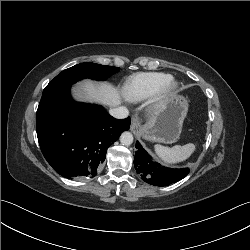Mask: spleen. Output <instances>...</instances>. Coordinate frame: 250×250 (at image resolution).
Returning <instances> with one entry per match:
<instances>
[{
    "label": "spleen",
    "mask_w": 250,
    "mask_h": 250,
    "mask_svg": "<svg viewBox=\"0 0 250 250\" xmlns=\"http://www.w3.org/2000/svg\"><path fill=\"white\" fill-rule=\"evenodd\" d=\"M195 149L196 145L193 143H188L183 146L176 145L173 147L162 145L155 146V152L166 165H172L186 160L191 156Z\"/></svg>",
    "instance_id": "1"
}]
</instances>
